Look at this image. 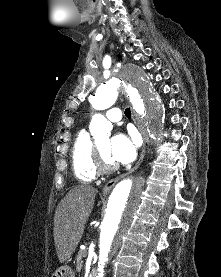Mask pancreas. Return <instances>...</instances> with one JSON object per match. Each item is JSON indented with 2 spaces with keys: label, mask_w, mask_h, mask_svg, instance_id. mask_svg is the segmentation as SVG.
Segmentation results:
<instances>
[{
  "label": "pancreas",
  "mask_w": 221,
  "mask_h": 277,
  "mask_svg": "<svg viewBox=\"0 0 221 277\" xmlns=\"http://www.w3.org/2000/svg\"><path fill=\"white\" fill-rule=\"evenodd\" d=\"M86 254H87L86 250H80L78 252V255H77V258H76V260H77V269L82 268V263H83L82 258L85 257Z\"/></svg>",
  "instance_id": "1"
}]
</instances>
